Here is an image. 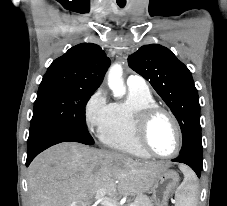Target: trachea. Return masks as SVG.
I'll return each instance as SVG.
<instances>
[{"mask_svg": "<svg viewBox=\"0 0 227 206\" xmlns=\"http://www.w3.org/2000/svg\"><path fill=\"white\" fill-rule=\"evenodd\" d=\"M117 4H118V6H119L120 8H123V7L126 5V1H124V2H118V1H117Z\"/></svg>", "mask_w": 227, "mask_h": 206, "instance_id": "1", "label": "trachea"}]
</instances>
